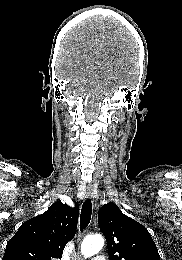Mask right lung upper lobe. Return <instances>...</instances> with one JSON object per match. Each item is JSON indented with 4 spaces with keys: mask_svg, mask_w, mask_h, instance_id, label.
Returning a JSON list of instances; mask_svg holds the SVG:
<instances>
[{
    "mask_svg": "<svg viewBox=\"0 0 182 260\" xmlns=\"http://www.w3.org/2000/svg\"><path fill=\"white\" fill-rule=\"evenodd\" d=\"M75 208L57 201L46 212L24 222L7 242L3 260L60 259L66 243L76 232Z\"/></svg>",
    "mask_w": 182,
    "mask_h": 260,
    "instance_id": "right-lung-upper-lobe-1",
    "label": "right lung upper lobe"
}]
</instances>
